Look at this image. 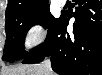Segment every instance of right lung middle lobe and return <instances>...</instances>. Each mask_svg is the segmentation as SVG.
Instances as JSON below:
<instances>
[{
  "instance_id": "dd1d6c3e",
  "label": "right lung middle lobe",
  "mask_w": 102,
  "mask_h": 75,
  "mask_svg": "<svg viewBox=\"0 0 102 75\" xmlns=\"http://www.w3.org/2000/svg\"><path fill=\"white\" fill-rule=\"evenodd\" d=\"M59 18H54L46 4L38 9L19 12L6 16V42L2 60L13 63L27 57L30 52L24 50V40L27 31L33 25L40 24L51 32Z\"/></svg>"
}]
</instances>
